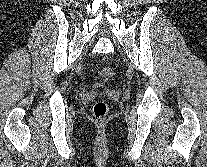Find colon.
Wrapping results in <instances>:
<instances>
[{
  "label": "colon",
  "instance_id": "colon-1",
  "mask_svg": "<svg viewBox=\"0 0 207 167\" xmlns=\"http://www.w3.org/2000/svg\"><path fill=\"white\" fill-rule=\"evenodd\" d=\"M113 76V71L109 67H104L90 73L94 86H100L103 82ZM109 112L108 104L104 101H98L93 106V115L98 120H104Z\"/></svg>",
  "mask_w": 207,
  "mask_h": 167
}]
</instances>
